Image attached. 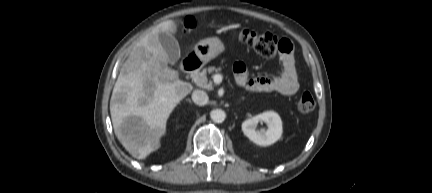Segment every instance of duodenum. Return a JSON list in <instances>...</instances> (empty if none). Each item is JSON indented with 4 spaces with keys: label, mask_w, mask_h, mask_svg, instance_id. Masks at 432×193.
<instances>
[{
    "label": "duodenum",
    "mask_w": 432,
    "mask_h": 193,
    "mask_svg": "<svg viewBox=\"0 0 432 193\" xmlns=\"http://www.w3.org/2000/svg\"><path fill=\"white\" fill-rule=\"evenodd\" d=\"M200 67H201V60L196 56H191L186 58L181 64L182 71L186 75L197 74Z\"/></svg>",
    "instance_id": "1"
}]
</instances>
